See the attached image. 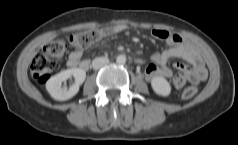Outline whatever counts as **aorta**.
Returning a JSON list of instances; mask_svg holds the SVG:
<instances>
[{"label": "aorta", "instance_id": "1", "mask_svg": "<svg viewBox=\"0 0 238 145\" xmlns=\"http://www.w3.org/2000/svg\"><path fill=\"white\" fill-rule=\"evenodd\" d=\"M116 63L119 65H123L126 63V56L125 55H118L116 58Z\"/></svg>", "mask_w": 238, "mask_h": 145}]
</instances>
